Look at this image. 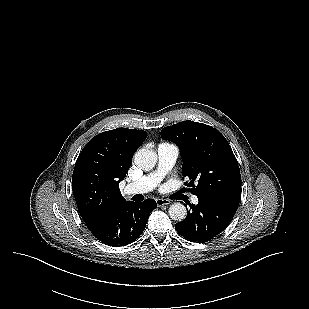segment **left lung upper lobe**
Instances as JSON below:
<instances>
[{"instance_id": "5c2ea615", "label": "left lung upper lobe", "mask_w": 309, "mask_h": 309, "mask_svg": "<svg viewBox=\"0 0 309 309\" xmlns=\"http://www.w3.org/2000/svg\"><path fill=\"white\" fill-rule=\"evenodd\" d=\"M161 137L178 145L183 159L182 174L189 179L187 186L191 187L192 194L240 199L238 162L217 129L194 121H182L164 127Z\"/></svg>"}]
</instances>
